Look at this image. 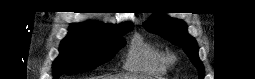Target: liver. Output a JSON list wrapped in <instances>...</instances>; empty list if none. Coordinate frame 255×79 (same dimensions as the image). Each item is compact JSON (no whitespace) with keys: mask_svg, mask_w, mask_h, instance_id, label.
<instances>
[{"mask_svg":"<svg viewBox=\"0 0 255 79\" xmlns=\"http://www.w3.org/2000/svg\"><path fill=\"white\" fill-rule=\"evenodd\" d=\"M144 77L135 76V75H119V76H105L97 77L95 79H142Z\"/></svg>","mask_w":255,"mask_h":79,"instance_id":"1","label":"liver"}]
</instances>
